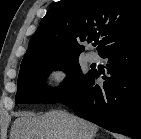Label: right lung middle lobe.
I'll return each mask as SVG.
<instances>
[{
  "mask_svg": "<svg viewBox=\"0 0 141 139\" xmlns=\"http://www.w3.org/2000/svg\"><path fill=\"white\" fill-rule=\"evenodd\" d=\"M64 70L68 76L60 87L50 89L45 85V77L52 70ZM83 75L78 58L56 63H45L20 69L16 104L24 103H59L74 93L91 75Z\"/></svg>",
  "mask_w": 141,
  "mask_h": 139,
  "instance_id": "dd1d6c3e",
  "label": "right lung middle lobe"
}]
</instances>
